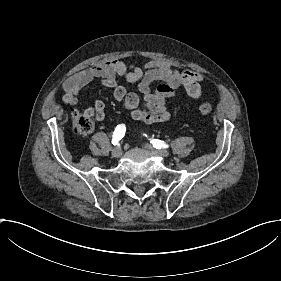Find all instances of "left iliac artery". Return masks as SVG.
<instances>
[{
	"label": "left iliac artery",
	"instance_id": "obj_1",
	"mask_svg": "<svg viewBox=\"0 0 281 281\" xmlns=\"http://www.w3.org/2000/svg\"><path fill=\"white\" fill-rule=\"evenodd\" d=\"M144 135L147 137L146 134H144ZM150 140H151V139H150ZM150 143H152L153 146H154L156 149H161V148H167V147H168V145H166V144L164 143V141H161V140H158V139H153V140L150 141Z\"/></svg>",
	"mask_w": 281,
	"mask_h": 281
}]
</instances>
